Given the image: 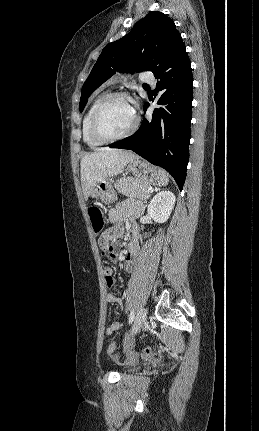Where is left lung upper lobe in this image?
<instances>
[{
	"mask_svg": "<svg viewBox=\"0 0 259 431\" xmlns=\"http://www.w3.org/2000/svg\"><path fill=\"white\" fill-rule=\"evenodd\" d=\"M181 39L172 19L161 12L147 14L127 35L102 50L82 87L80 112L92 92L116 71L154 73Z\"/></svg>",
	"mask_w": 259,
	"mask_h": 431,
	"instance_id": "5c2ea615",
	"label": "left lung upper lobe"
}]
</instances>
